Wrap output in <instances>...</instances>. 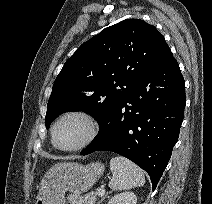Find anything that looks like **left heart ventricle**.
<instances>
[{
    "label": "left heart ventricle",
    "instance_id": "left-heart-ventricle-1",
    "mask_svg": "<svg viewBox=\"0 0 212 204\" xmlns=\"http://www.w3.org/2000/svg\"><path fill=\"white\" fill-rule=\"evenodd\" d=\"M86 135L84 122L75 117L63 120L55 130V138L58 145L69 148L79 144Z\"/></svg>",
    "mask_w": 212,
    "mask_h": 204
}]
</instances>
